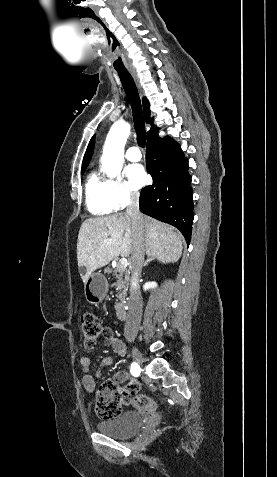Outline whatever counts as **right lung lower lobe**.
<instances>
[{"label":"right lung lower lobe","instance_id":"right-lung-lower-lobe-1","mask_svg":"<svg viewBox=\"0 0 277 477\" xmlns=\"http://www.w3.org/2000/svg\"><path fill=\"white\" fill-rule=\"evenodd\" d=\"M146 166L153 184L140 193V211L178 228L189 245L194 207L188 159L179 144L158 137L147 142Z\"/></svg>","mask_w":277,"mask_h":477}]
</instances>
